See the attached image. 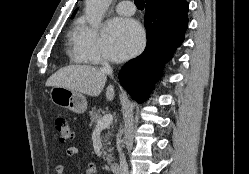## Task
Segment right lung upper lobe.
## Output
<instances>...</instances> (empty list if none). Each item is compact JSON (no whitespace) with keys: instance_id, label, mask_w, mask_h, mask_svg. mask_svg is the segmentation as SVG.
<instances>
[{"instance_id":"1","label":"right lung upper lobe","mask_w":249,"mask_h":174,"mask_svg":"<svg viewBox=\"0 0 249 174\" xmlns=\"http://www.w3.org/2000/svg\"><path fill=\"white\" fill-rule=\"evenodd\" d=\"M166 1H168V0H146V2H148V3L151 2V3H155V4H157V3H163V2H166ZM76 11L74 12L73 16L75 15Z\"/></svg>"}]
</instances>
